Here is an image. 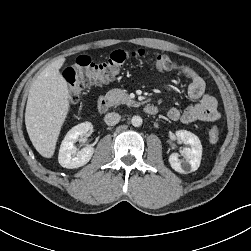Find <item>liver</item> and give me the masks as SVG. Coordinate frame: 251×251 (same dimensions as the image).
Returning <instances> with one entry per match:
<instances>
[{
    "instance_id": "1",
    "label": "liver",
    "mask_w": 251,
    "mask_h": 251,
    "mask_svg": "<svg viewBox=\"0 0 251 251\" xmlns=\"http://www.w3.org/2000/svg\"><path fill=\"white\" fill-rule=\"evenodd\" d=\"M65 58L48 65L32 83L25 111L29 138L40 155L51 158L70 109L69 89L59 69Z\"/></svg>"
}]
</instances>
